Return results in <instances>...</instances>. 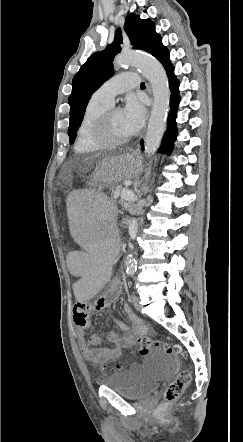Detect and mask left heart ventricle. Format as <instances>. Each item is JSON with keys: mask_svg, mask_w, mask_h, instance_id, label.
Segmentation results:
<instances>
[{"mask_svg": "<svg viewBox=\"0 0 243 442\" xmlns=\"http://www.w3.org/2000/svg\"><path fill=\"white\" fill-rule=\"evenodd\" d=\"M131 134L128 129L124 118L123 113L120 109H116L113 111L108 128V136L110 139H123L129 137Z\"/></svg>", "mask_w": 243, "mask_h": 442, "instance_id": "1", "label": "left heart ventricle"}]
</instances>
